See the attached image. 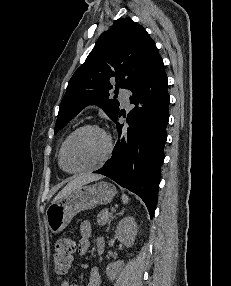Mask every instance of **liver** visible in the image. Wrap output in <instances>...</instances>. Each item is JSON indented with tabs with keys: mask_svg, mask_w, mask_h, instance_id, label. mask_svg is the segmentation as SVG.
<instances>
[{
	"mask_svg": "<svg viewBox=\"0 0 231 286\" xmlns=\"http://www.w3.org/2000/svg\"><path fill=\"white\" fill-rule=\"evenodd\" d=\"M102 176L101 175H94V174H86V175H80L78 177H76L75 179H73L72 181H70L57 195L56 197L53 199L52 203H55L57 201H59L60 199L64 198L66 195L70 194L71 192H73L74 190H76L77 188L93 182V181H97L99 179H101Z\"/></svg>",
	"mask_w": 231,
	"mask_h": 286,
	"instance_id": "obj_1",
	"label": "liver"
}]
</instances>
